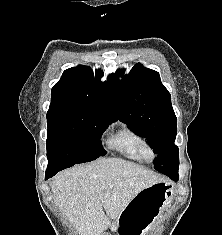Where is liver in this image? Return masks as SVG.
Masks as SVG:
<instances>
[{"label":"liver","instance_id":"1","mask_svg":"<svg viewBox=\"0 0 222 235\" xmlns=\"http://www.w3.org/2000/svg\"><path fill=\"white\" fill-rule=\"evenodd\" d=\"M157 182L164 180L142 166L106 158L58 173L51 188L79 235H102L140 191Z\"/></svg>","mask_w":222,"mask_h":235}]
</instances>
